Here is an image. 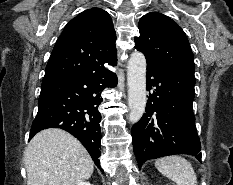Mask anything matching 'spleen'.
<instances>
[{"label": "spleen", "instance_id": "3e777b00", "mask_svg": "<svg viewBox=\"0 0 233 185\" xmlns=\"http://www.w3.org/2000/svg\"><path fill=\"white\" fill-rule=\"evenodd\" d=\"M157 170L177 185H197L196 173L189 161L181 156H167L156 160Z\"/></svg>", "mask_w": 233, "mask_h": 185}]
</instances>
